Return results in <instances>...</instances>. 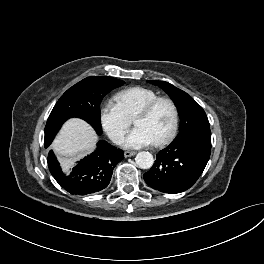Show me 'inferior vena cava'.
Here are the masks:
<instances>
[{"label": "inferior vena cava", "mask_w": 264, "mask_h": 264, "mask_svg": "<svg viewBox=\"0 0 264 264\" xmlns=\"http://www.w3.org/2000/svg\"><path fill=\"white\" fill-rule=\"evenodd\" d=\"M113 142L116 144H121L124 142V136L122 135H116L113 139Z\"/></svg>", "instance_id": "inferior-vena-cava-1"}]
</instances>
